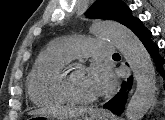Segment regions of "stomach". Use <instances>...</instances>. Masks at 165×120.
Wrapping results in <instances>:
<instances>
[{
    "label": "stomach",
    "instance_id": "stomach-1",
    "mask_svg": "<svg viewBox=\"0 0 165 120\" xmlns=\"http://www.w3.org/2000/svg\"><path fill=\"white\" fill-rule=\"evenodd\" d=\"M54 116L49 114H36L30 119L40 120V119H47L51 120ZM57 120H69L68 118L58 117ZM73 120H114V118L105 111L100 110H87L84 114L80 117H76Z\"/></svg>",
    "mask_w": 165,
    "mask_h": 120
}]
</instances>
